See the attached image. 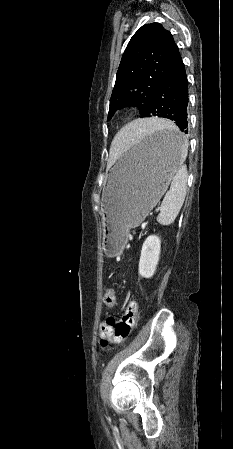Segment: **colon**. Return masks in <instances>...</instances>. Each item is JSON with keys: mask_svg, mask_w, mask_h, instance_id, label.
I'll return each mask as SVG.
<instances>
[{"mask_svg": "<svg viewBox=\"0 0 233 449\" xmlns=\"http://www.w3.org/2000/svg\"><path fill=\"white\" fill-rule=\"evenodd\" d=\"M103 302L108 308L116 306V291L115 286L110 284L106 290ZM138 317V303L136 300H131L120 319L109 317L103 329L101 330V340L104 344L121 343L125 341L131 334L135 327Z\"/></svg>", "mask_w": 233, "mask_h": 449, "instance_id": "5ec220e1", "label": "colon"}]
</instances>
